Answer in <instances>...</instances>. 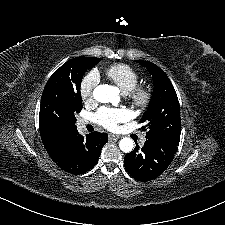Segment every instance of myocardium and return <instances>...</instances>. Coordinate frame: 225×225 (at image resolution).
Wrapping results in <instances>:
<instances>
[{"instance_id": "obj_1", "label": "myocardium", "mask_w": 225, "mask_h": 225, "mask_svg": "<svg viewBox=\"0 0 225 225\" xmlns=\"http://www.w3.org/2000/svg\"><path fill=\"white\" fill-rule=\"evenodd\" d=\"M127 97L131 104L137 109H145L152 98V90L148 85L140 84L132 88Z\"/></svg>"}]
</instances>
